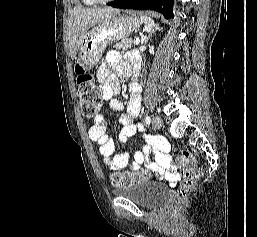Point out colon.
<instances>
[{
	"mask_svg": "<svg viewBox=\"0 0 257 237\" xmlns=\"http://www.w3.org/2000/svg\"><path fill=\"white\" fill-rule=\"evenodd\" d=\"M76 72L82 114L88 118H95L102 105V91L95 83L94 77L85 72L81 66L77 67ZM177 161L179 166L184 168V175L177 192L178 202L173 211L174 218L179 216L181 204L193 190L195 182L203 175V169L196 164L188 152L179 154ZM149 177L150 174L146 171L116 173L112 176V184L117 187L127 186L144 181Z\"/></svg>",
	"mask_w": 257,
	"mask_h": 237,
	"instance_id": "obj_1",
	"label": "colon"
}]
</instances>
